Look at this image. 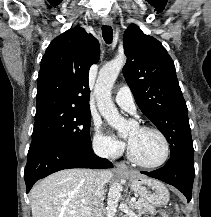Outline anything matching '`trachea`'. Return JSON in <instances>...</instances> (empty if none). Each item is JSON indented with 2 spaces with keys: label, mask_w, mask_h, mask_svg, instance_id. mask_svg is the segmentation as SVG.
Returning <instances> with one entry per match:
<instances>
[{
  "label": "trachea",
  "mask_w": 211,
  "mask_h": 217,
  "mask_svg": "<svg viewBox=\"0 0 211 217\" xmlns=\"http://www.w3.org/2000/svg\"><path fill=\"white\" fill-rule=\"evenodd\" d=\"M102 36L107 44H111L113 40V30L111 26H102Z\"/></svg>",
  "instance_id": "3493384b"
}]
</instances>
